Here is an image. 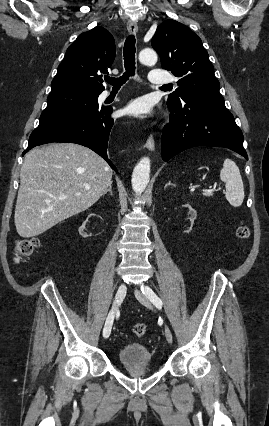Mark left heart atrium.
Here are the masks:
<instances>
[{
  "label": "left heart atrium",
  "instance_id": "1",
  "mask_svg": "<svg viewBox=\"0 0 269 426\" xmlns=\"http://www.w3.org/2000/svg\"><path fill=\"white\" fill-rule=\"evenodd\" d=\"M151 110V103L146 98H138L125 108V113L134 117H144L150 114Z\"/></svg>",
  "mask_w": 269,
  "mask_h": 426
}]
</instances>
